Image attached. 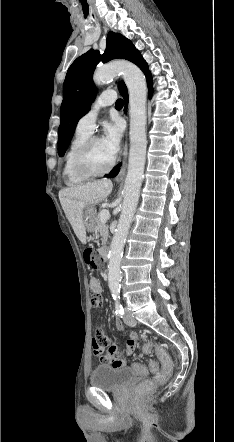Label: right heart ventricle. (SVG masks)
I'll return each mask as SVG.
<instances>
[{
    "mask_svg": "<svg viewBox=\"0 0 234 442\" xmlns=\"http://www.w3.org/2000/svg\"><path fill=\"white\" fill-rule=\"evenodd\" d=\"M89 137L90 134L76 130L70 141L68 150L65 155V162L63 168V175L66 179V182L69 185L72 186L81 185L89 179L88 177L79 174L74 166V157L77 150L83 144V142Z\"/></svg>",
    "mask_w": 234,
    "mask_h": 442,
    "instance_id": "obj_1",
    "label": "right heart ventricle"
}]
</instances>
